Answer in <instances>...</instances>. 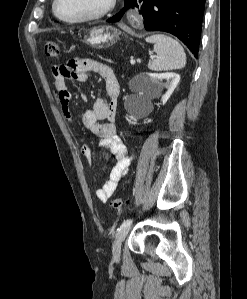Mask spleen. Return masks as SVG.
<instances>
[{
    "mask_svg": "<svg viewBox=\"0 0 247 299\" xmlns=\"http://www.w3.org/2000/svg\"><path fill=\"white\" fill-rule=\"evenodd\" d=\"M146 41L154 44L156 59L148 63V68L153 71H168L181 69L186 64L184 49L175 39L156 34L146 38Z\"/></svg>",
    "mask_w": 247,
    "mask_h": 299,
    "instance_id": "obj_1",
    "label": "spleen"
}]
</instances>
